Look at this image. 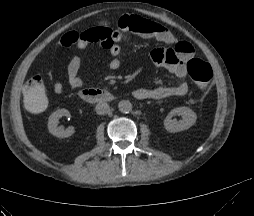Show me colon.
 I'll use <instances>...</instances> for the list:
<instances>
[{
  "label": "colon",
  "instance_id": "obj_1",
  "mask_svg": "<svg viewBox=\"0 0 254 216\" xmlns=\"http://www.w3.org/2000/svg\"><path fill=\"white\" fill-rule=\"evenodd\" d=\"M82 38L89 43H98L108 46L111 43L109 30L105 28H92L81 32ZM187 73L199 88L208 86L212 79L213 71L209 63L199 58H190L187 62ZM23 103L25 108L33 113L43 111L48 103L47 95L44 91L42 78L39 75L33 76L23 89Z\"/></svg>",
  "mask_w": 254,
  "mask_h": 216
}]
</instances>
